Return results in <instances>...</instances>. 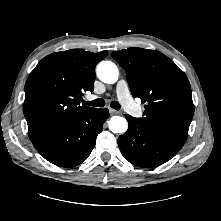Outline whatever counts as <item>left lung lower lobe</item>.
<instances>
[{"instance_id":"0a47b994","label":"left lung lower lobe","mask_w":221,"mask_h":221,"mask_svg":"<svg viewBox=\"0 0 221 221\" xmlns=\"http://www.w3.org/2000/svg\"><path fill=\"white\" fill-rule=\"evenodd\" d=\"M125 116L128 130L118 138V145L122 155L134 165L159 166L174 157L185 143L155 132L140 118Z\"/></svg>"}]
</instances>
